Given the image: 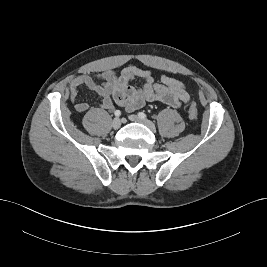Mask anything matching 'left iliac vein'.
<instances>
[{"label":"left iliac vein","instance_id":"obj_1","mask_svg":"<svg viewBox=\"0 0 267 267\" xmlns=\"http://www.w3.org/2000/svg\"><path fill=\"white\" fill-rule=\"evenodd\" d=\"M129 119L133 122L144 124L153 132L156 131V127H155L154 123H152L151 121H149L147 119H142V118L138 117L137 115H130Z\"/></svg>","mask_w":267,"mask_h":267}]
</instances>
